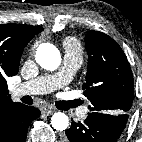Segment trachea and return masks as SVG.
Wrapping results in <instances>:
<instances>
[{
  "label": "trachea",
  "mask_w": 142,
  "mask_h": 142,
  "mask_svg": "<svg viewBox=\"0 0 142 142\" xmlns=\"http://www.w3.org/2000/svg\"><path fill=\"white\" fill-rule=\"evenodd\" d=\"M60 104L65 106L67 109L80 105L78 100H73V101H69V102H61Z\"/></svg>",
  "instance_id": "trachea-1"
}]
</instances>
